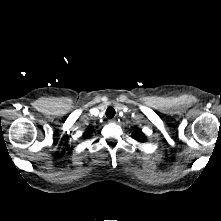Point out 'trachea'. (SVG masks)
<instances>
[{
	"label": "trachea",
	"mask_w": 221,
	"mask_h": 221,
	"mask_svg": "<svg viewBox=\"0 0 221 221\" xmlns=\"http://www.w3.org/2000/svg\"><path fill=\"white\" fill-rule=\"evenodd\" d=\"M106 116L107 118L111 119L115 116V109L113 107H109L106 110Z\"/></svg>",
	"instance_id": "1"
}]
</instances>
